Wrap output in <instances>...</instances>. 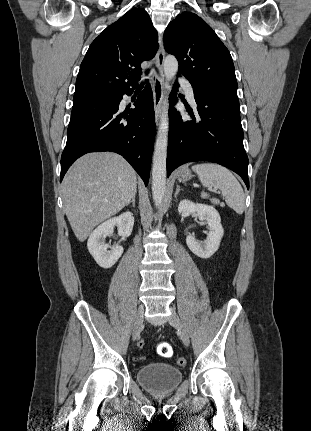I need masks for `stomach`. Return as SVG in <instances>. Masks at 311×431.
Segmentation results:
<instances>
[{
    "label": "stomach",
    "mask_w": 311,
    "mask_h": 431,
    "mask_svg": "<svg viewBox=\"0 0 311 431\" xmlns=\"http://www.w3.org/2000/svg\"><path fill=\"white\" fill-rule=\"evenodd\" d=\"M192 174L188 168H181L178 172V180L179 182H189L191 180Z\"/></svg>",
    "instance_id": "1"
}]
</instances>
